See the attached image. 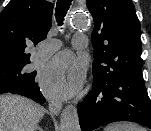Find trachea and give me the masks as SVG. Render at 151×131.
Here are the masks:
<instances>
[{"label":"trachea","instance_id":"1","mask_svg":"<svg viewBox=\"0 0 151 131\" xmlns=\"http://www.w3.org/2000/svg\"><path fill=\"white\" fill-rule=\"evenodd\" d=\"M72 0H57L55 17L59 26L63 25L64 17L71 5Z\"/></svg>","mask_w":151,"mask_h":131}]
</instances>
